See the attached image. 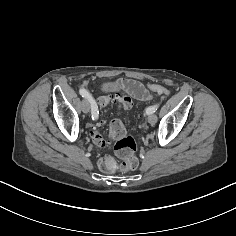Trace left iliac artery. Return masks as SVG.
Here are the masks:
<instances>
[{"instance_id":"obj_1","label":"left iliac artery","mask_w":236,"mask_h":236,"mask_svg":"<svg viewBox=\"0 0 236 236\" xmlns=\"http://www.w3.org/2000/svg\"><path fill=\"white\" fill-rule=\"evenodd\" d=\"M157 108H158V105L150 106L146 109V113L152 114V113L156 112Z\"/></svg>"}]
</instances>
